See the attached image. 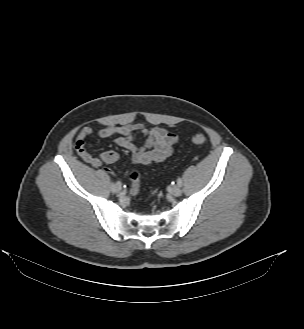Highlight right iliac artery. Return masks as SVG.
<instances>
[{
  "label": "right iliac artery",
  "mask_w": 304,
  "mask_h": 329,
  "mask_svg": "<svg viewBox=\"0 0 304 329\" xmlns=\"http://www.w3.org/2000/svg\"><path fill=\"white\" fill-rule=\"evenodd\" d=\"M111 191L112 192H116V190H115V183L114 182L111 183Z\"/></svg>",
  "instance_id": "right-iliac-artery-1"
}]
</instances>
